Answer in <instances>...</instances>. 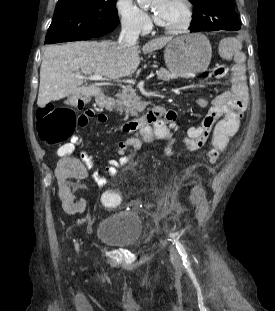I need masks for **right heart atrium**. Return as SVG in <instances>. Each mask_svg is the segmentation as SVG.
Segmentation results:
<instances>
[{
	"mask_svg": "<svg viewBox=\"0 0 275 311\" xmlns=\"http://www.w3.org/2000/svg\"><path fill=\"white\" fill-rule=\"evenodd\" d=\"M115 11L123 29L144 34L151 28V20L134 0H115Z\"/></svg>",
	"mask_w": 275,
	"mask_h": 311,
	"instance_id": "d8ad5b80",
	"label": "right heart atrium"
}]
</instances>
